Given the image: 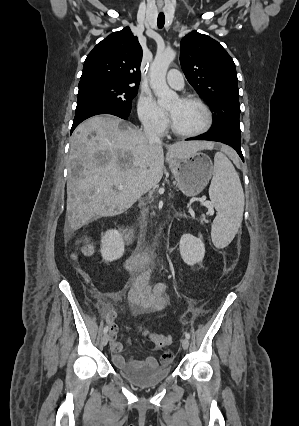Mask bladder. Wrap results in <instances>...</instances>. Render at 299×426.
<instances>
[{"label":"bladder","mask_w":299,"mask_h":426,"mask_svg":"<svg viewBox=\"0 0 299 426\" xmlns=\"http://www.w3.org/2000/svg\"><path fill=\"white\" fill-rule=\"evenodd\" d=\"M167 366L124 368L118 370L119 375L128 383L142 389L152 388L164 382L170 375Z\"/></svg>","instance_id":"1"}]
</instances>
